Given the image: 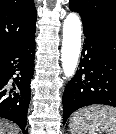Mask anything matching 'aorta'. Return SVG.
I'll return each instance as SVG.
<instances>
[{
  "instance_id": "1",
  "label": "aorta",
  "mask_w": 116,
  "mask_h": 134,
  "mask_svg": "<svg viewBox=\"0 0 116 134\" xmlns=\"http://www.w3.org/2000/svg\"><path fill=\"white\" fill-rule=\"evenodd\" d=\"M81 20L75 13H70L63 23V41L61 50V61L64 75L73 77L81 48Z\"/></svg>"
}]
</instances>
